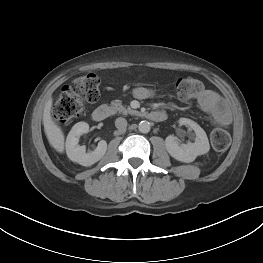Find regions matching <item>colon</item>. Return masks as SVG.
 I'll list each match as a JSON object with an SVG mask.
<instances>
[{
	"label": "colon",
	"mask_w": 263,
	"mask_h": 263,
	"mask_svg": "<svg viewBox=\"0 0 263 263\" xmlns=\"http://www.w3.org/2000/svg\"><path fill=\"white\" fill-rule=\"evenodd\" d=\"M99 77L88 74L76 78L62 89L54 108L53 118L57 123L65 124L79 117L84 103H94L99 98ZM176 92L180 99L189 100L199 96L204 89L203 83L195 78H181L176 82ZM231 143L230 134L221 128L211 134V144L216 151L226 150Z\"/></svg>",
	"instance_id": "obj_1"
}]
</instances>
